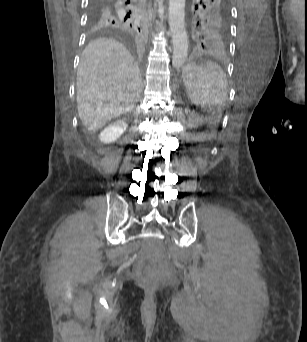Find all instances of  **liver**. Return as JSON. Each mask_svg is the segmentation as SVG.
<instances>
[{"instance_id": "6515ba94", "label": "liver", "mask_w": 307, "mask_h": 342, "mask_svg": "<svg viewBox=\"0 0 307 342\" xmlns=\"http://www.w3.org/2000/svg\"><path fill=\"white\" fill-rule=\"evenodd\" d=\"M76 84L79 118L89 132H98L109 120L131 110L142 88L133 56L111 38H99L86 46Z\"/></svg>"}]
</instances>
